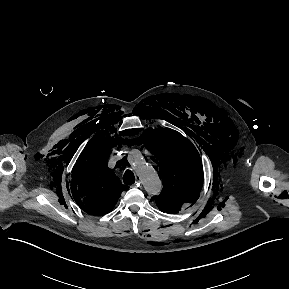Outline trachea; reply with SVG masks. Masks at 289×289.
<instances>
[{"label": "trachea", "mask_w": 289, "mask_h": 289, "mask_svg": "<svg viewBox=\"0 0 289 289\" xmlns=\"http://www.w3.org/2000/svg\"><path fill=\"white\" fill-rule=\"evenodd\" d=\"M123 182L126 185H132L135 182V176L131 170H126L123 175Z\"/></svg>", "instance_id": "trachea-1"}]
</instances>
